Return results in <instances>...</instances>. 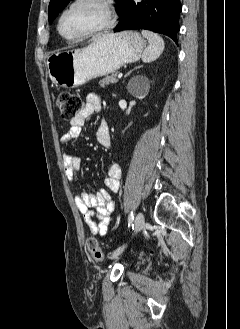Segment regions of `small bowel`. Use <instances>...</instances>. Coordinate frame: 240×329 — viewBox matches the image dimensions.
I'll return each instance as SVG.
<instances>
[{"label":"small bowel","instance_id":"1","mask_svg":"<svg viewBox=\"0 0 240 329\" xmlns=\"http://www.w3.org/2000/svg\"><path fill=\"white\" fill-rule=\"evenodd\" d=\"M102 108V101L98 94L89 93L86 103L77 116L71 120L69 130L62 135L61 144L64 147L63 166L69 180L75 178L80 169V158L68 150V145L81 136L85 122ZM96 138L98 143L104 147L111 146L110 129L106 121L102 120L98 126ZM121 168L118 164H110L103 180L104 188L95 193L81 192L77 195L76 206L91 232L95 235L105 236L108 226L112 222V214L115 203L110 198L109 191L117 192L120 187ZM98 219V222L95 221Z\"/></svg>","mask_w":240,"mask_h":329}]
</instances>
